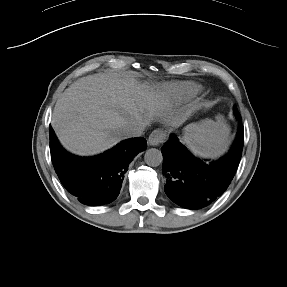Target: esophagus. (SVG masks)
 <instances>
[{"label": "esophagus", "instance_id": "esophagus-1", "mask_svg": "<svg viewBox=\"0 0 287 287\" xmlns=\"http://www.w3.org/2000/svg\"><path fill=\"white\" fill-rule=\"evenodd\" d=\"M165 139L166 132L162 129H156L150 134L148 141L151 146H159Z\"/></svg>", "mask_w": 287, "mask_h": 287}]
</instances>
